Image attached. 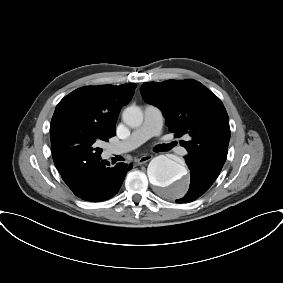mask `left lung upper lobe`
Returning a JSON list of instances; mask_svg holds the SVG:
<instances>
[{
    "mask_svg": "<svg viewBox=\"0 0 283 283\" xmlns=\"http://www.w3.org/2000/svg\"><path fill=\"white\" fill-rule=\"evenodd\" d=\"M142 97L158 106L175 137L186 135L180 144L186 157L205 169L220 172L230 140L229 119L220 99L195 80L148 82L141 87Z\"/></svg>",
    "mask_w": 283,
    "mask_h": 283,
    "instance_id": "1",
    "label": "left lung upper lobe"
}]
</instances>
